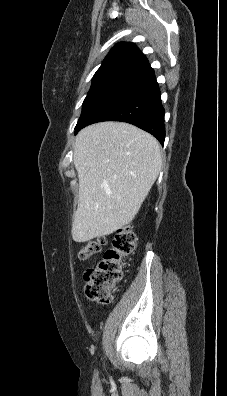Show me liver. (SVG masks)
Here are the masks:
<instances>
[{
	"mask_svg": "<svg viewBox=\"0 0 227 396\" xmlns=\"http://www.w3.org/2000/svg\"><path fill=\"white\" fill-rule=\"evenodd\" d=\"M73 162L79 198L72 238L86 242L135 218L161 171V146L131 124L102 122L78 133Z\"/></svg>",
	"mask_w": 227,
	"mask_h": 396,
	"instance_id": "obj_1",
	"label": "liver"
}]
</instances>
